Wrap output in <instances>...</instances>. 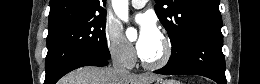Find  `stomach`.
<instances>
[{
    "label": "stomach",
    "mask_w": 260,
    "mask_h": 84,
    "mask_svg": "<svg viewBox=\"0 0 260 84\" xmlns=\"http://www.w3.org/2000/svg\"><path fill=\"white\" fill-rule=\"evenodd\" d=\"M155 84H180V82L175 80H158Z\"/></svg>",
    "instance_id": "0dacf381"
}]
</instances>
